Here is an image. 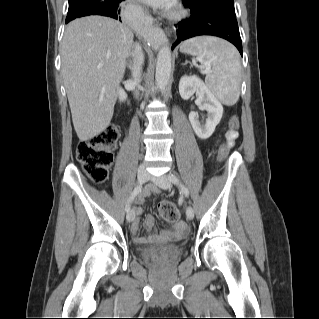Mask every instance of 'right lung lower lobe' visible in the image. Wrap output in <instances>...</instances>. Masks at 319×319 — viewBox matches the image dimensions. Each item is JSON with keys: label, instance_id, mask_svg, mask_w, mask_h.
I'll return each mask as SVG.
<instances>
[{"label": "right lung lower lobe", "instance_id": "obj_1", "mask_svg": "<svg viewBox=\"0 0 319 319\" xmlns=\"http://www.w3.org/2000/svg\"><path fill=\"white\" fill-rule=\"evenodd\" d=\"M124 0H111V1H103L100 2L84 11H81L77 14L75 18L89 16V15H102L108 16L114 19H120V8H118L119 3ZM71 21L70 19H66V23Z\"/></svg>", "mask_w": 319, "mask_h": 319}]
</instances>
